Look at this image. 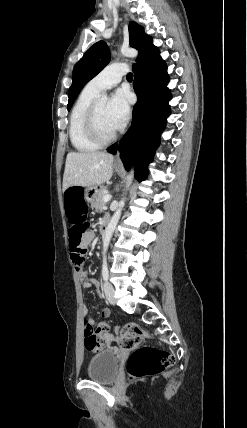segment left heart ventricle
Wrapping results in <instances>:
<instances>
[{
    "mask_svg": "<svg viewBox=\"0 0 247 428\" xmlns=\"http://www.w3.org/2000/svg\"><path fill=\"white\" fill-rule=\"evenodd\" d=\"M96 122L100 133L104 136H109L115 131L107 117V103L104 101L98 102Z\"/></svg>",
    "mask_w": 247,
    "mask_h": 428,
    "instance_id": "b2bd125f",
    "label": "left heart ventricle"
}]
</instances>
